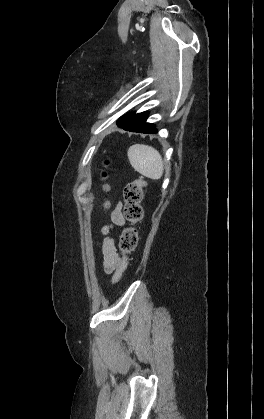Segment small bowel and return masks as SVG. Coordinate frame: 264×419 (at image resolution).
<instances>
[{
  "instance_id": "1",
  "label": "small bowel",
  "mask_w": 264,
  "mask_h": 419,
  "mask_svg": "<svg viewBox=\"0 0 264 419\" xmlns=\"http://www.w3.org/2000/svg\"><path fill=\"white\" fill-rule=\"evenodd\" d=\"M124 223L125 220L122 214V205L119 203L111 214V224L102 229V233L104 235L101 246L102 265L104 272L107 274L115 272L122 260V256L116 248L115 240L109 237L108 233L113 227L122 226Z\"/></svg>"
}]
</instances>
